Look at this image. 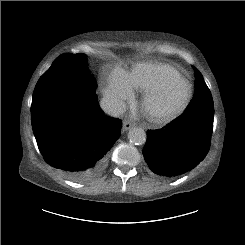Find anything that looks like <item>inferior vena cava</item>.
Wrapping results in <instances>:
<instances>
[{"instance_id": "obj_1", "label": "inferior vena cava", "mask_w": 245, "mask_h": 245, "mask_svg": "<svg viewBox=\"0 0 245 245\" xmlns=\"http://www.w3.org/2000/svg\"><path fill=\"white\" fill-rule=\"evenodd\" d=\"M100 106L106 114L113 117L120 116L126 111L125 103L115 97H103L100 101Z\"/></svg>"}]
</instances>
